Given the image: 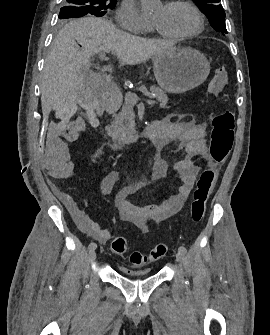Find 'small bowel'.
<instances>
[{"label":"small bowel","mask_w":270,"mask_h":335,"mask_svg":"<svg viewBox=\"0 0 270 335\" xmlns=\"http://www.w3.org/2000/svg\"><path fill=\"white\" fill-rule=\"evenodd\" d=\"M81 125L80 121H46V152L49 158H40V165H45L46 169H51L52 173L60 178H71V169H79V162H74L73 158L66 154V151H73V144H63V138H56L64 134L68 140H73L76 128ZM160 134L156 141V151L154 155V168L151 179L160 180L173 173L181 182L178 191L170 195L164 201L146 206H135L131 204L126 195L136 190V187L123 188L115 199V208L123 222L136 225L142 231L149 229L151 224L163 221L178 213L187 200L193 189L198 166L194 163L195 156H206L204 123L196 124L193 122L171 120L168 118L159 121ZM174 145L175 152H182L184 156L174 164H170L161 155V151L168 145ZM102 154L98 149L94 157ZM119 171L111 170L102 175L97 184V190L101 197L109 195L119 180ZM64 200L69 204L77 225L82 232L91 236L95 240L105 243L110 237V231L99 223L93 221L88 212L84 209L74 208V200L64 196Z\"/></svg>","instance_id":"small-bowel-1"}]
</instances>
